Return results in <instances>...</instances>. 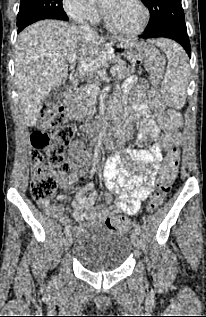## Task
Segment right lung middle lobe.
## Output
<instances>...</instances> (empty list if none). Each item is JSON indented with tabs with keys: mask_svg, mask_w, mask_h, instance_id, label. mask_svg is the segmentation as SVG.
<instances>
[{
	"mask_svg": "<svg viewBox=\"0 0 206 317\" xmlns=\"http://www.w3.org/2000/svg\"><path fill=\"white\" fill-rule=\"evenodd\" d=\"M67 18L62 8V0H20L17 27L18 31H21L38 20Z\"/></svg>",
	"mask_w": 206,
	"mask_h": 317,
	"instance_id": "obj_1",
	"label": "right lung middle lobe"
}]
</instances>
